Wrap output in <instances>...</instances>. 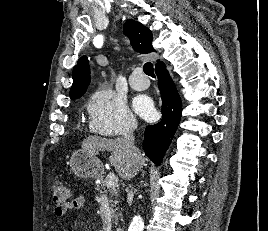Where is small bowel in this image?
I'll return each mask as SVG.
<instances>
[{"label":"small bowel","mask_w":268,"mask_h":231,"mask_svg":"<svg viewBox=\"0 0 268 231\" xmlns=\"http://www.w3.org/2000/svg\"><path fill=\"white\" fill-rule=\"evenodd\" d=\"M85 196L82 194H79L75 196L69 203L67 210H78L81 209L85 205ZM66 213V210H61L59 208L54 209V214L56 216H63Z\"/></svg>","instance_id":"small-bowel-1"}]
</instances>
